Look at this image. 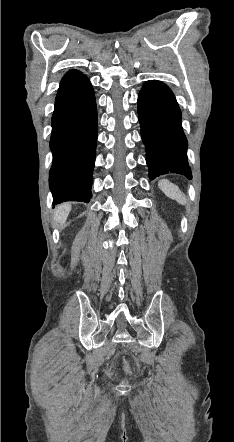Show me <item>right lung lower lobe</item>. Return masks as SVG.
Returning <instances> with one entry per match:
<instances>
[{"mask_svg": "<svg viewBox=\"0 0 234 442\" xmlns=\"http://www.w3.org/2000/svg\"><path fill=\"white\" fill-rule=\"evenodd\" d=\"M97 143V109L88 78L72 70L63 77L52 116L50 148L53 203L88 202Z\"/></svg>", "mask_w": 234, "mask_h": 442, "instance_id": "98d812e1", "label": "right lung lower lobe"}]
</instances>
